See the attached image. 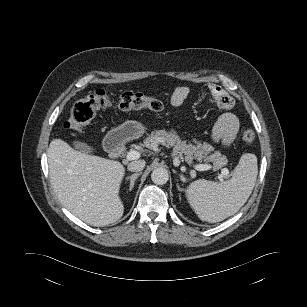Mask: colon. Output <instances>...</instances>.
<instances>
[{
	"mask_svg": "<svg viewBox=\"0 0 307 307\" xmlns=\"http://www.w3.org/2000/svg\"><path fill=\"white\" fill-rule=\"evenodd\" d=\"M113 106L126 111L138 109L160 111L164 107L160 99L142 93L124 92L115 98L104 90H97L74 103L64 128L83 132L98 111ZM241 139L250 144L255 140V132L252 129H245L241 133Z\"/></svg>",
	"mask_w": 307,
	"mask_h": 307,
	"instance_id": "5ec220e1",
	"label": "colon"
}]
</instances>
